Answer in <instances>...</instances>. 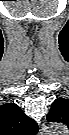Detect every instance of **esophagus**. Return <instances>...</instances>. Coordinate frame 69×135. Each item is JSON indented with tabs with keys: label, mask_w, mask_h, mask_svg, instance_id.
Returning <instances> with one entry per match:
<instances>
[{
	"label": "esophagus",
	"mask_w": 69,
	"mask_h": 135,
	"mask_svg": "<svg viewBox=\"0 0 69 135\" xmlns=\"http://www.w3.org/2000/svg\"><path fill=\"white\" fill-rule=\"evenodd\" d=\"M46 131H47V127H46V125L43 123V124L41 125V134H44Z\"/></svg>",
	"instance_id": "esophagus-1"
}]
</instances>
